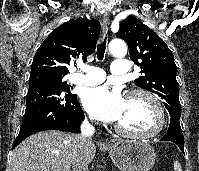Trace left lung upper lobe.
<instances>
[{
    "label": "left lung upper lobe",
    "instance_id": "1",
    "mask_svg": "<svg viewBox=\"0 0 199 171\" xmlns=\"http://www.w3.org/2000/svg\"><path fill=\"white\" fill-rule=\"evenodd\" d=\"M116 37L126 41L130 58L143 73L134 81L135 85L162 97L170 116L180 118L177 67L166 43L134 16L122 21Z\"/></svg>",
    "mask_w": 199,
    "mask_h": 171
}]
</instances>
